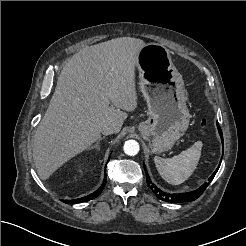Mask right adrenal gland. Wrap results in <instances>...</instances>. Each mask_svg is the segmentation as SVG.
<instances>
[{"label":"right adrenal gland","mask_w":246,"mask_h":246,"mask_svg":"<svg viewBox=\"0 0 246 246\" xmlns=\"http://www.w3.org/2000/svg\"><path fill=\"white\" fill-rule=\"evenodd\" d=\"M103 139H105V136L100 137V138L97 140L96 144L93 145V146H91L90 148H96L97 150H100V141L103 140Z\"/></svg>","instance_id":"obj_1"}]
</instances>
